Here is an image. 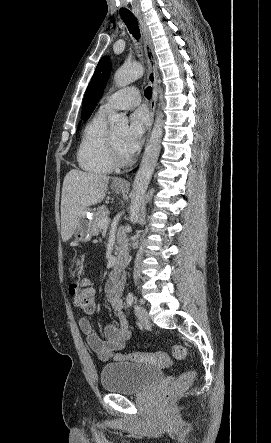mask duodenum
Masks as SVG:
<instances>
[{
	"instance_id": "1",
	"label": "duodenum",
	"mask_w": 271,
	"mask_h": 443,
	"mask_svg": "<svg viewBox=\"0 0 271 443\" xmlns=\"http://www.w3.org/2000/svg\"><path fill=\"white\" fill-rule=\"evenodd\" d=\"M125 264H126V255L121 253L116 259L114 265V274L120 276L121 271L124 268Z\"/></svg>"
}]
</instances>
